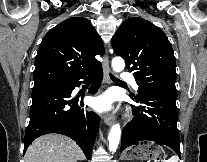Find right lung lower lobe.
I'll use <instances>...</instances> for the list:
<instances>
[{
	"label": "right lung lower lobe",
	"mask_w": 207,
	"mask_h": 162,
	"mask_svg": "<svg viewBox=\"0 0 207 162\" xmlns=\"http://www.w3.org/2000/svg\"><path fill=\"white\" fill-rule=\"evenodd\" d=\"M90 76L94 81L89 92L95 93L102 80V67L86 75L32 90L30 122L24 138V153L37 137L58 133L75 140L87 159H91L100 118L95 113L87 111L82 101L79 103L77 98L71 97L73 89L81 84L79 80H86Z\"/></svg>",
	"instance_id": "right-lung-lower-lobe-1"
}]
</instances>
